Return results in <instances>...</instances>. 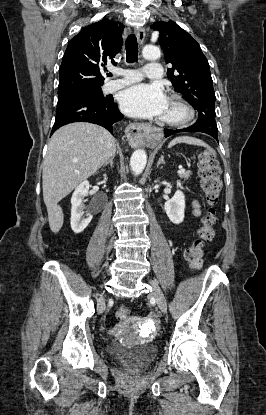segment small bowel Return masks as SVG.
<instances>
[{
    "label": "small bowel",
    "instance_id": "obj_1",
    "mask_svg": "<svg viewBox=\"0 0 266 415\" xmlns=\"http://www.w3.org/2000/svg\"><path fill=\"white\" fill-rule=\"evenodd\" d=\"M192 212L196 217L200 216L201 214L200 204L197 200L192 201Z\"/></svg>",
    "mask_w": 266,
    "mask_h": 415
}]
</instances>
